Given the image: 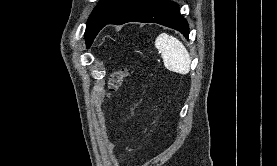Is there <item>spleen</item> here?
<instances>
[{"label":"spleen","mask_w":277,"mask_h":166,"mask_svg":"<svg viewBox=\"0 0 277 166\" xmlns=\"http://www.w3.org/2000/svg\"><path fill=\"white\" fill-rule=\"evenodd\" d=\"M155 47L161 52L168 70L180 74H187L190 71V55L181 41L162 33L156 38Z\"/></svg>","instance_id":"1"}]
</instances>
